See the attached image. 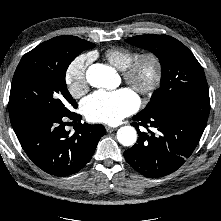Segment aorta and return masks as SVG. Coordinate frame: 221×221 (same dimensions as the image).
Instances as JSON below:
<instances>
[{
  "label": "aorta",
  "mask_w": 221,
  "mask_h": 221,
  "mask_svg": "<svg viewBox=\"0 0 221 221\" xmlns=\"http://www.w3.org/2000/svg\"><path fill=\"white\" fill-rule=\"evenodd\" d=\"M115 72L103 64H93L86 72L88 83L97 88H112ZM117 139L123 146H132L137 140V132L132 126H123L117 131Z\"/></svg>",
  "instance_id": "aorta-1"
}]
</instances>
